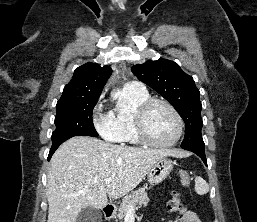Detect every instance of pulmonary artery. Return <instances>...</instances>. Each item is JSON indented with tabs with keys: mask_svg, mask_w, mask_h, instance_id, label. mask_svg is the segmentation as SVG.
Segmentation results:
<instances>
[{
	"mask_svg": "<svg viewBox=\"0 0 257 222\" xmlns=\"http://www.w3.org/2000/svg\"><path fill=\"white\" fill-rule=\"evenodd\" d=\"M125 87L135 89V90H146L144 84L137 80L129 81L125 84Z\"/></svg>",
	"mask_w": 257,
	"mask_h": 222,
	"instance_id": "e3ab8cb5",
	"label": "pulmonary artery"
}]
</instances>
